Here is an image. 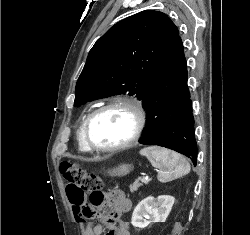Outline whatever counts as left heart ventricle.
I'll use <instances>...</instances> for the list:
<instances>
[{"label": "left heart ventricle", "mask_w": 250, "mask_h": 235, "mask_svg": "<svg viewBox=\"0 0 250 235\" xmlns=\"http://www.w3.org/2000/svg\"><path fill=\"white\" fill-rule=\"evenodd\" d=\"M134 117L126 109L115 107L99 114L90 126L91 142L110 147L126 141L134 129Z\"/></svg>", "instance_id": "b2bd125f"}]
</instances>
